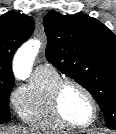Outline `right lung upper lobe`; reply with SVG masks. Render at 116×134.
Returning <instances> with one entry per match:
<instances>
[{
  "instance_id": "right-lung-upper-lobe-1",
  "label": "right lung upper lobe",
  "mask_w": 116,
  "mask_h": 134,
  "mask_svg": "<svg viewBox=\"0 0 116 134\" xmlns=\"http://www.w3.org/2000/svg\"><path fill=\"white\" fill-rule=\"evenodd\" d=\"M32 17L9 11L0 16V82H14L12 58L34 31Z\"/></svg>"
}]
</instances>
